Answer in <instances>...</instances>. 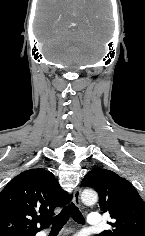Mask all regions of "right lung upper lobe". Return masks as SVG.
I'll return each mask as SVG.
<instances>
[{
  "instance_id": "obj_1",
  "label": "right lung upper lobe",
  "mask_w": 145,
  "mask_h": 236,
  "mask_svg": "<svg viewBox=\"0 0 145 236\" xmlns=\"http://www.w3.org/2000/svg\"><path fill=\"white\" fill-rule=\"evenodd\" d=\"M70 199L50 171L22 172L0 193V236H35L49 226L54 208L63 207Z\"/></svg>"
}]
</instances>
